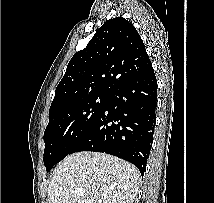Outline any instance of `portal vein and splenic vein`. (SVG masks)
<instances>
[{"mask_svg": "<svg viewBox=\"0 0 214 203\" xmlns=\"http://www.w3.org/2000/svg\"><path fill=\"white\" fill-rule=\"evenodd\" d=\"M75 193H76L77 195L82 196V195H84V190H83V188H79V189H76V190H75Z\"/></svg>", "mask_w": 214, "mask_h": 203, "instance_id": "18ae733b", "label": "portal vein and splenic vein"}]
</instances>
